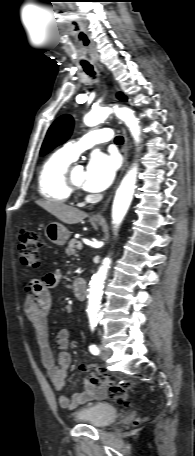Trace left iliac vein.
<instances>
[{"label": "left iliac vein", "instance_id": "1", "mask_svg": "<svg viewBox=\"0 0 195 456\" xmlns=\"http://www.w3.org/2000/svg\"><path fill=\"white\" fill-rule=\"evenodd\" d=\"M100 351H101V358L103 360H107V358H109L112 354V350L107 347H104V346H100Z\"/></svg>", "mask_w": 195, "mask_h": 456}]
</instances>
